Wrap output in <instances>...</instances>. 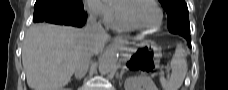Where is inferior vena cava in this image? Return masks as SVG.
Masks as SVG:
<instances>
[{
	"mask_svg": "<svg viewBox=\"0 0 228 90\" xmlns=\"http://www.w3.org/2000/svg\"><path fill=\"white\" fill-rule=\"evenodd\" d=\"M84 30L86 37L85 48L76 64L74 71L75 77L77 79L83 78L88 71L90 59L93 54L94 41L107 35L103 26L97 22L96 15L93 13L90 14Z\"/></svg>",
	"mask_w": 228,
	"mask_h": 90,
	"instance_id": "inferior-vena-cava-1",
	"label": "inferior vena cava"
}]
</instances>
